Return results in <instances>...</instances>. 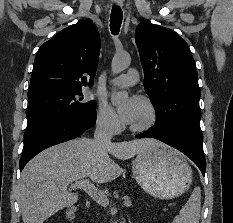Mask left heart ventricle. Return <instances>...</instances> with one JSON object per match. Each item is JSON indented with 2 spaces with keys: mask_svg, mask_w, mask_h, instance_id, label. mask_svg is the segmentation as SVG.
Returning a JSON list of instances; mask_svg holds the SVG:
<instances>
[{
  "mask_svg": "<svg viewBox=\"0 0 233 223\" xmlns=\"http://www.w3.org/2000/svg\"><path fill=\"white\" fill-rule=\"evenodd\" d=\"M151 121L150 113L145 104L140 100V109L137 118L131 124L134 126H146Z\"/></svg>",
  "mask_w": 233,
  "mask_h": 223,
  "instance_id": "left-heart-ventricle-1",
  "label": "left heart ventricle"
}]
</instances>
